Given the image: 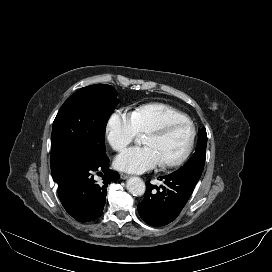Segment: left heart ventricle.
Segmentation results:
<instances>
[{
    "label": "left heart ventricle",
    "instance_id": "b2bd125f",
    "mask_svg": "<svg viewBox=\"0 0 272 272\" xmlns=\"http://www.w3.org/2000/svg\"><path fill=\"white\" fill-rule=\"evenodd\" d=\"M190 139V131L186 126L178 127L165 136L146 135L144 143L153 147L162 162L177 159L185 151Z\"/></svg>",
    "mask_w": 272,
    "mask_h": 272
}]
</instances>
